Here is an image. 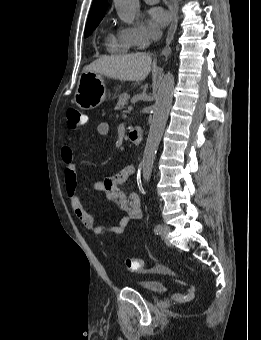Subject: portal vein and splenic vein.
<instances>
[{
    "label": "portal vein and splenic vein",
    "mask_w": 261,
    "mask_h": 340,
    "mask_svg": "<svg viewBox=\"0 0 261 340\" xmlns=\"http://www.w3.org/2000/svg\"><path fill=\"white\" fill-rule=\"evenodd\" d=\"M132 109H133V107H132V106H129V107H128V110H129V111H131Z\"/></svg>",
    "instance_id": "18ae733b"
}]
</instances>
